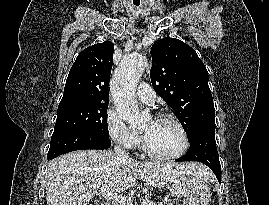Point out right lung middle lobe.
Wrapping results in <instances>:
<instances>
[{
	"label": "right lung middle lobe",
	"mask_w": 269,
	"mask_h": 205,
	"mask_svg": "<svg viewBox=\"0 0 269 205\" xmlns=\"http://www.w3.org/2000/svg\"><path fill=\"white\" fill-rule=\"evenodd\" d=\"M108 103H76L59 106L54 131L78 129L109 137Z\"/></svg>",
	"instance_id": "right-lung-middle-lobe-1"
}]
</instances>
